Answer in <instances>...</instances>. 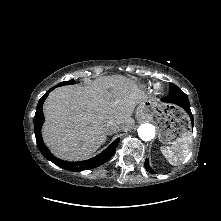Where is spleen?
Instances as JSON below:
<instances>
[{"mask_svg":"<svg viewBox=\"0 0 221 221\" xmlns=\"http://www.w3.org/2000/svg\"><path fill=\"white\" fill-rule=\"evenodd\" d=\"M191 141L192 135L188 131L171 146L161 147V152L171 165H177L188 155Z\"/></svg>","mask_w":221,"mask_h":221,"instance_id":"obj_1","label":"spleen"}]
</instances>
